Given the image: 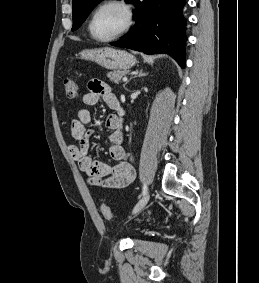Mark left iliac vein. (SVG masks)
Segmentation results:
<instances>
[{
	"label": "left iliac vein",
	"mask_w": 259,
	"mask_h": 283,
	"mask_svg": "<svg viewBox=\"0 0 259 283\" xmlns=\"http://www.w3.org/2000/svg\"><path fill=\"white\" fill-rule=\"evenodd\" d=\"M150 199V193L146 192L145 195H143V197L139 200V202L136 204V206L133 209V214H136L138 212H140L148 203Z\"/></svg>",
	"instance_id": "1"
}]
</instances>
